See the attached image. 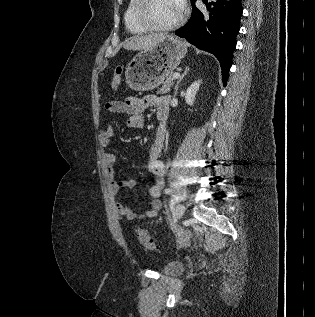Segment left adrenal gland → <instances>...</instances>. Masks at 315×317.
Listing matches in <instances>:
<instances>
[{
  "label": "left adrenal gland",
  "instance_id": "a2214340",
  "mask_svg": "<svg viewBox=\"0 0 315 317\" xmlns=\"http://www.w3.org/2000/svg\"><path fill=\"white\" fill-rule=\"evenodd\" d=\"M188 71H189V67L186 66V67H185V70H184V72H183V74L180 76V78L178 79V81H177V83H176L175 91H174V96L177 95L178 86H179L180 82L182 81V79L184 78V76L187 74Z\"/></svg>",
  "mask_w": 315,
  "mask_h": 317
}]
</instances>
